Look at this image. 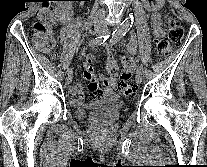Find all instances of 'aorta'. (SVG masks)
Returning a JSON list of instances; mask_svg holds the SVG:
<instances>
[{
	"label": "aorta",
	"instance_id": "obj_1",
	"mask_svg": "<svg viewBox=\"0 0 207 167\" xmlns=\"http://www.w3.org/2000/svg\"><path fill=\"white\" fill-rule=\"evenodd\" d=\"M133 19L131 17L124 20V22L121 24V26L117 29L118 33H124L129 30V28L132 26Z\"/></svg>",
	"mask_w": 207,
	"mask_h": 167
}]
</instances>
